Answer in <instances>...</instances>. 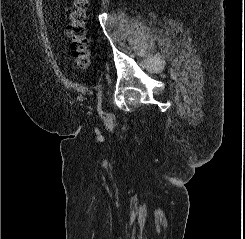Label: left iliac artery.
<instances>
[{
    "label": "left iliac artery",
    "instance_id": "obj_1",
    "mask_svg": "<svg viewBox=\"0 0 245 239\" xmlns=\"http://www.w3.org/2000/svg\"><path fill=\"white\" fill-rule=\"evenodd\" d=\"M102 105V85L98 86V108L100 109Z\"/></svg>",
    "mask_w": 245,
    "mask_h": 239
}]
</instances>
